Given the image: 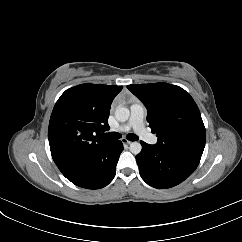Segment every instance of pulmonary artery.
<instances>
[{
  "label": "pulmonary artery",
  "instance_id": "pulmonary-artery-1",
  "mask_svg": "<svg viewBox=\"0 0 242 242\" xmlns=\"http://www.w3.org/2000/svg\"><path fill=\"white\" fill-rule=\"evenodd\" d=\"M146 116V110L142 103L135 102L130 108V119L125 124L120 126L118 132H127L131 129L145 142L154 145L158 142L157 138L148 132L145 127L144 121Z\"/></svg>",
  "mask_w": 242,
  "mask_h": 242
}]
</instances>
